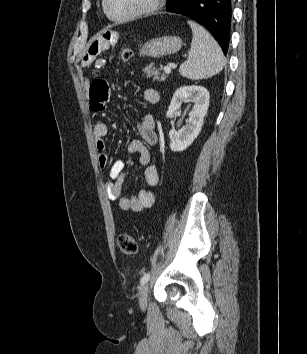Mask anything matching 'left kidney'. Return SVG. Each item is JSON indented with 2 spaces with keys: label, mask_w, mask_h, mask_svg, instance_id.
Here are the masks:
<instances>
[{
  "label": "left kidney",
  "mask_w": 307,
  "mask_h": 354,
  "mask_svg": "<svg viewBox=\"0 0 307 354\" xmlns=\"http://www.w3.org/2000/svg\"><path fill=\"white\" fill-rule=\"evenodd\" d=\"M209 92L201 86H183L178 88L170 102L167 118H173L174 113L180 108L182 102L189 100L195 103V108L189 113L188 123L180 130H170V148L174 152L185 150L197 138L204 122L209 107Z\"/></svg>",
  "instance_id": "obj_1"
}]
</instances>
